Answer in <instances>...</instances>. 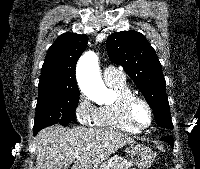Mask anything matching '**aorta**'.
<instances>
[{
  "label": "aorta",
  "mask_w": 200,
  "mask_h": 169,
  "mask_svg": "<svg viewBox=\"0 0 200 169\" xmlns=\"http://www.w3.org/2000/svg\"><path fill=\"white\" fill-rule=\"evenodd\" d=\"M76 74L82 92L96 101H101L108 90L101 78L98 56L95 52L88 51L81 56Z\"/></svg>",
  "instance_id": "762f6f07"
}]
</instances>
